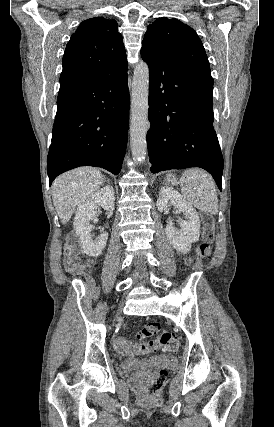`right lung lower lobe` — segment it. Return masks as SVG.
Listing matches in <instances>:
<instances>
[{"instance_id": "98d812e1", "label": "right lung lower lobe", "mask_w": 274, "mask_h": 427, "mask_svg": "<svg viewBox=\"0 0 274 427\" xmlns=\"http://www.w3.org/2000/svg\"><path fill=\"white\" fill-rule=\"evenodd\" d=\"M128 119L127 64L59 94L47 158L49 185L79 166L102 167L117 175L126 150Z\"/></svg>"}]
</instances>
